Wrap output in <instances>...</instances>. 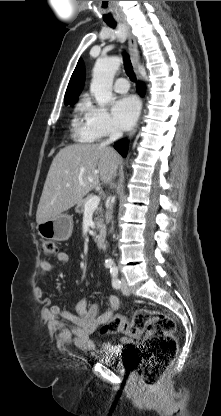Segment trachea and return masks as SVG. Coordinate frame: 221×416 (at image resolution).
<instances>
[{"label":"trachea","mask_w":221,"mask_h":416,"mask_svg":"<svg viewBox=\"0 0 221 416\" xmlns=\"http://www.w3.org/2000/svg\"><path fill=\"white\" fill-rule=\"evenodd\" d=\"M108 25L111 28H115L116 27V23H108ZM123 56H124L125 71H126L127 75L129 76L130 80L133 81V82H135L136 76H135V73L133 71V68H132L131 61L129 59V56L126 53H124Z\"/></svg>","instance_id":"trachea-1"}]
</instances>
